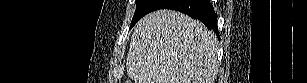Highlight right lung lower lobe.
Returning a JSON list of instances; mask_svg holds the SVG:
<instances>
[{"mask_svg": "<svg viewBox=\"0 0 307 83\" xmlns=\"http://www.w3.org/2000/svg\"><path fill=\"white\" fill-rule=\"evenodd\" d=\"M161 8L177 10L192 18H197L219 36L217 15L210 0H154L149 12Z\"/></svg>", "mask_w": 307, "mask_h": 83, "instance_id": "obj_1", "label": "right lung lower lobe"}]
</instances>
